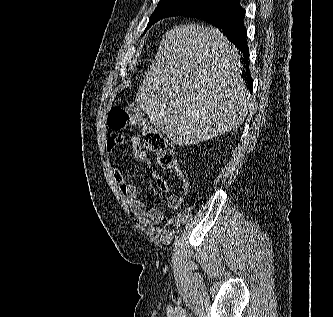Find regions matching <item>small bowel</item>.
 <instances>
[{"mask_svg":"<svg viewBox=\"0 0 333 317\" xmlns=\"http://www.w3.org/2000/svg\"><path fill=\"white\" fill-rule=\"evenodd\" d=\"M129 140L134 155L137 158L146 159V154L140 139L137 136H132ZM124 141L125 138L122 134H114L109 137L106 141L107 153L110 155L118 146L122 145ZM114 176L121 194L127 200L129 208L135 217L143 219L151 226L158 225L164 220V213L161 210L157 208H147L145 203L138 197L136 186L125 178L120 168L115 169ZM154 177L160 191L164 193H169L171 191L170 186L161 176L154 173ZM181 203L182 198L178 195H170L166 200V206L171 210L177 209Z\"/></svg>","mask_w":333,"mask_h":317,"instance_id":"c3829d8e","label":"small bowel"}]
</instances>
